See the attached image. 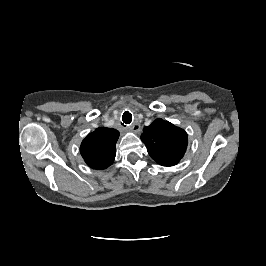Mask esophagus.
<instances>
[{"mask_svg": "<svg viewBox=\"0 0 266 266\" xmlns=\"http://www.w3.org/2000/svg\"><path fill=\"white\" fill-rule=\"evenodd\" d=\"M130 130L135 132V133H139L141 131V126H140V124L135 123L132 126H130Z\"/></svg>", "mask_w": 266, "mask_h": 266, "instance_id": "1", "label": "esophagus"}]
</instances>
